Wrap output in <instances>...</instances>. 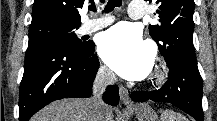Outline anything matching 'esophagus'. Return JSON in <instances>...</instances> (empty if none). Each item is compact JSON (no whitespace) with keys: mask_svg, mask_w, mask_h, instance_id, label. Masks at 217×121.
Segmentation results:
<instances>
[{"mask_svg":"<svg viewBox=\"0 0 217 121\" xmlns=\"http://www.w3.org/2000/svg\"><path fill=\"white\" fill-rule=\"evenodd\" d=\"M119 94H120V99L124 105H127V106L132 105V100L130 98L129 92L126 87L120 85Z\"/></svg>","mask_w":217,"mask_h":121,"instance_id":"esophagus-1","label":"esophagus"}]
</instances>
